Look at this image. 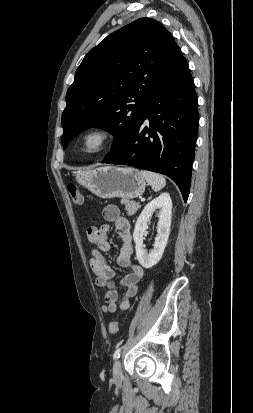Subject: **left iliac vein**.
<instances>
[{
    "label": "left iliac vein",
    "mask_w": 253,
    "mask_h": 413,
    "mask_svg": "<svg viewBox=\"0 0 253 413\" xmlns=\"http://www.w3.org/2000/svg\"><path fill=\"white\" fill-rule=\"evenodd\" d=\"M121 376H122L121 363H120V360H116L113 365V377L115 380H119Z\"/></svg>",
    "instance_id": "obj_1"
}]
</instances>
